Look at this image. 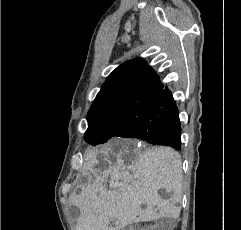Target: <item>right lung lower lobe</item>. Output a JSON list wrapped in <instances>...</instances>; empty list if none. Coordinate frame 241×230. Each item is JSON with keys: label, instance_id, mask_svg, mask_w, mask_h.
Returning <instances> with one entry per match:
<instances>
[{"label": "right lung lower lobe", "instance_id": "obj_1", "mask_svg": "<svg viewBox=\"0 0 241 230\" xmlns=\"http://www.w3.org/2000/svg\"><path fill=\"white\" fill-rule=\"evenodd\" d=\"M144 113L145 124L135 131L134 138L179 150L181 125L178 108L171 91L162 86L160 92L149 102Z\"/></svg>", "mask_w": 241, "mask_h": 230}]
</instances>
